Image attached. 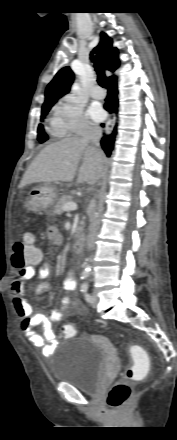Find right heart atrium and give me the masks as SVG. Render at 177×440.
Wrapping results in <instances>:
<instances>
[{"instance_id":"obj_1","label":"right heart atrium","mask_w":177,"mask_h":440,"mask_svg":"<svg viewBox=\"0 0 177 440\" xmlns=\"http://www.w3.org/2000/svg\"><path fill=\"white\" fill-rule=\"evenodd\" d=\"M52 125L59 136H74L93 130L83 104L72 95L61 97L52 108Z\"/></svg>"}]
</instances>
